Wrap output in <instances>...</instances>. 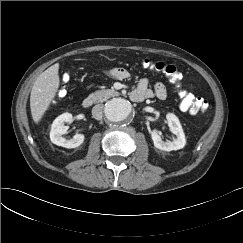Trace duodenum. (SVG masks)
I'll use <instances>...</instances> for the list:
<instances>
[{
    "instance_id": "410a0bca",
    "label": "duodenum",
    "mask_w": 243,
    "mask_h": 243,
    "mask_svg": "<svg viewBox=\"0 0 243 243\" xmlns=\"http://www.w3.org/2000/svg\"><path fill=\"white\" fill-rule=\"evenodd\" d=\"M130 97H131V99L133 101H141V100H143L142 96H138V95L133 94V93H131ZM92 104H93V100L90 97H87V98L83 99V101H82L83 108H89V107L92 106Z\"/></svg>"
}]
</instances>
